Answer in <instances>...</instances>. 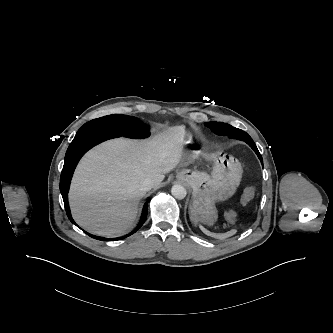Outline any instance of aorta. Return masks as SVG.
Returning a JSON list of instances; mask_svg holds the SVG:
<instances>
[{"mask_svg":"<svg viewBox=\"0 0 333 333\" xmlns=\"http://www.w3.org/2000/svg\"><path fill=\"white\" fill-rule=\"evenodd\" d=\"M171 193L176 199H184L187 195V191L184 186L180 184L173 185L171 188Z\"/></svg>","mask_w":333,"mask_h":333,"instance_id":"aorta-1","label":"aorta"}]
</instances>
